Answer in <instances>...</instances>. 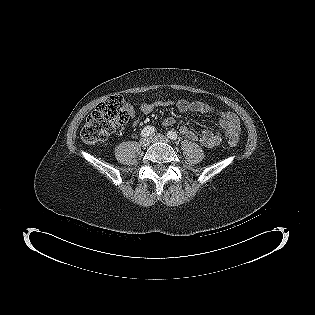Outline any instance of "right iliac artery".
<instances>
[{
  "mask_svg": "<svg viewBox=\"0 0 315 315\" xmlns=\"http://www.w3.org/2000/svg\"><path fill=\"white\" fill-rule=\"evenodd\" d=\"M155 132V128L152 126H147L141 131V136L142 137H148L152 135Z\"/></svg>",
  "mask_w": 315,
  "mask_h": 315,
  "instance_id": "1",
  "label": "right iliac artery"
}]
</instances>
